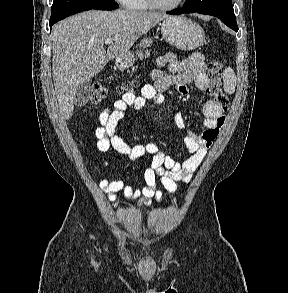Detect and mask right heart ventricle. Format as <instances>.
<instances>
[{
    "label": "right heart ventricle",
    "instance_id": "e07e8e85",
    "mask_svg": "<svg viewBox=\"0 0 288 293\" xmlns=\"http://www.w3.org/2000/svg\"><path fill=\"white\" fill-rule=\"evenodd\" d=\"M124 5L131 10H147L149 8L146 0H127Z\"/></svg>",
    "mask_w": 288,
    "mask_h": 293
}]
</instances>
